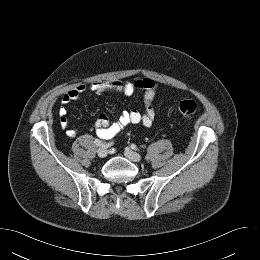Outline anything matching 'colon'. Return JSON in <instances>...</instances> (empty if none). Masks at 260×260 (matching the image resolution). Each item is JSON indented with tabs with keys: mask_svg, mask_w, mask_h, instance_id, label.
<instances>
[{
	"mask_svg": "<svg viewBox=\"0 0 260 260\" xmlns=\"http://www.w3.org/2000/svg\"><path fill=\"white\" fill-rule=\"evenodd\" d=\"M178 110L185 116H192L197 111V104L193 100L184 99L178 103Z\"/></svg>",
	"mask_w": 260,
	"mask_h": 260,
	"instance_id": "obj_1",
	"label": "colon"
}]
</instances>
